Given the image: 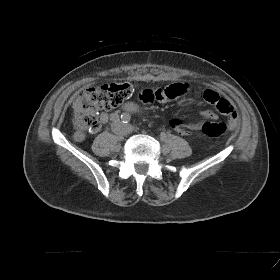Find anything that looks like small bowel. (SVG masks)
<instances>
[{
    "instance_id": "obj_1",
    "label": "small bowel",
    "mask_w": 280,
    "mask_h": 280,
    "mask_svg": "<svg viewBox=\"0 0 280 280\" xmlns=\"http://www.w3.org/2000/svg\"><path fill=\"white\" fill-rule=\"evenodd\" d=\"M189 86L185 83H173L164 88L159 89H145L140 95L139 99L144 103L154 102H168L175 100L180 96L187 93ZM202 99L208 104L214 105L216 109L223 115L228 116V124L230 128H236L238 125V115L234 106L225 98L221 97L216 91L206 89L201 93ZM202 116L208 120L217 119V114L210 109H203L201 111ZM109 119L107 113H101L100 123L105 124ZM201 123H185L181 119H174L171 122L172 128L181 135H188L191 131L199 130ZM77 130L74 134V138L77 141H82L85 138V133L76 121Z\"/></svg>"
}]
</instances>
